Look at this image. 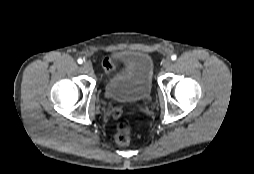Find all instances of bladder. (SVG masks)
Returning a JSON list of instances; mask_svg holds the SVG:
<instances>
[{
  "label": "bladder",
  "instance_id": "bladder-1",
  "mask_svg": "<svg viewBox=\"0 0 254 174\" xmlns=\"http://www.w3.org/2000/svg\"><path fill=\"white\" fill-rule=\"evenodd\" d=\"M120 71L108 77L105 90L108 97L124 102L146 99L152 92L153 62L144 52L132 51L121 56Z\"/></svg>",
  "mask_w": 254,
  "mask_h": 174
}]
</instances>
